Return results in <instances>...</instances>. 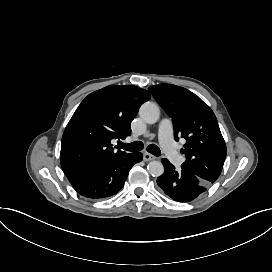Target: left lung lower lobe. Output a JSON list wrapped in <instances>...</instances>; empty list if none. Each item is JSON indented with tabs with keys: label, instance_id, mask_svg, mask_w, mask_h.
Listing matches in <instances>:
<instances>
[{
	"label": "left lung lower lobe",
	"instance_id": "0a47b994",
	"mask_svg": "<svg viewBox=\"0 0 272 272\" xmlns=\"http://www.w3.org/2000/svg\"><path fill=\"white\" fill-rule=\"evenodd\" d=\"M162 163L164 173L157 178V184L174 201L190 202L203 194L211 185L184 169L176 171L167 159H162Z\"/></svg>",
	"mask_w": 272,
	"mask_h": 272
}]
</instances>
